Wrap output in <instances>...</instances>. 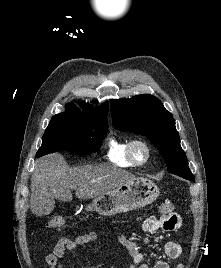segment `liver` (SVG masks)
<instances>
[{"label":"liver","instance_id":"liver-1","mask_svg":"<svg viewBox=\"0 0 221 268\" xmlns=\"http://www.w3.org/2000/svg\"><path fill=\"white\" fill-rule=\"evenodd\" d=\"M133 179L135 176L128 171L112 166L69 168L63 156L55 153L36 161L30 208L35 215H48L55 207V199L72 201L73 188H77L76 197L85 200L100 197Z\"/></svg>","mask_w":221,"mask_h":268}]
</instances>
